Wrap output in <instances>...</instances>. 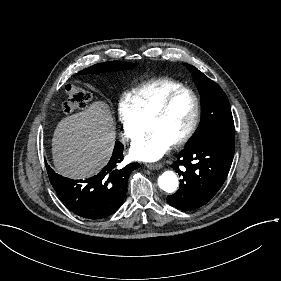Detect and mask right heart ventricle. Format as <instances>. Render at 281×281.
Instances as JSON below:
<instances>
[{
	"instance_id": "right-heart-ventricle-1",
	"label": "right heart ventricle",
	"mask_w": 281,
	"mask_h": 281,
	"mask_svg": "<svg viewBox=\"0 0 281 281\" xmlns=\"http://www.w3.org/2000/svg\"><path fill=\"white\" fill-rule=\"evenodd\" d=\"M183 88L179 81L164 79L134 91L127 99L143 122L169 95Z\"/></svg>"
}]
</instances>
